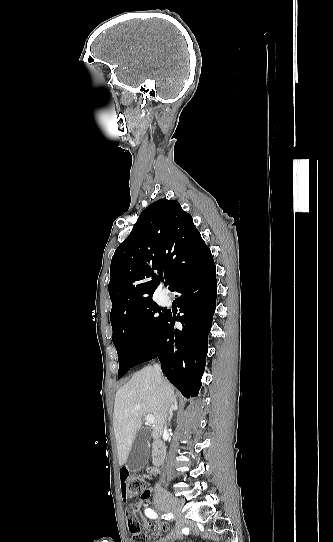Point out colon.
<instances>
[{"label": "colon", "instance_id": "colon-1", "mask_svg": "<svg viewBox=\"0 0 333 542\" xmlns=\"http://www.w3.org/2000/svg\"><path fill=\"white\" fill-rule=\"evenodd\" d=\"M152 473L153 467H148L147 474L150 475ZM128 481L129 486L127 489V497L144 498L146 496V483L142 476L130 473ZM125 510L127 513H136L138 510V505L136 502H127L125 505ZM132 518H136V515H132ZM129 528L133 533L132 542H149V537L143 531H141V528L137 523H131Z\"/></svg>", "mask_w": 333, "mask_h": 542}]
</instances>
